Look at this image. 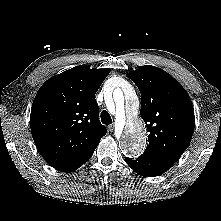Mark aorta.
I'll use <instances>...</instances> for the list:
<instances>
[{
  "label": "aorta",
  "instance_id": "obj_1",
  "mask_svg": "<svg viewBox=\"0 0 221 221\" xmlns=\"http://www.w3.org/2000/svg\"><path fill=\"white\" fill-rule=\"evenodd\" d=\"M115 115L117 122L124 126L120 144L125 154L131 157L139 156L146 145V128L138 117L139 100L134 88L128 82H122L121 87L113 91Z\"/></svg>",
  "mask_w": 221,
  "mask_h": 221
}]
</instances>
